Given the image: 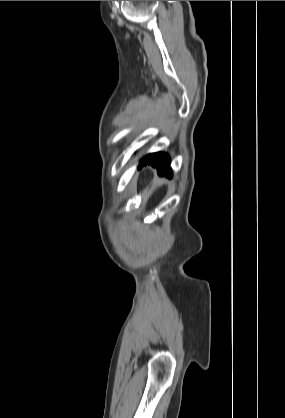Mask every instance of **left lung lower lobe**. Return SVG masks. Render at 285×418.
I'll return each mask as SVG.
<instances>
[{"label": "left lung lower lobe", "mask_w": 285, "mask_h": 418, "mask_svg": "<svg viewBox=\"0 0 285 418\" xmlns=\"http://www.w3.org/2000/svg\"><path fill=\"white\" fill-rule=\"evenodd\" d=\"M146 164H151L153 167H156L159 175H166L167 177L172 176L170 158L165 153L158 152L146 155L141 159L139 168Z\"/></svg>", "instance_id": "0a47b994"}]
</instances>
